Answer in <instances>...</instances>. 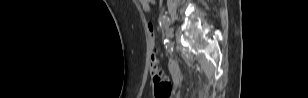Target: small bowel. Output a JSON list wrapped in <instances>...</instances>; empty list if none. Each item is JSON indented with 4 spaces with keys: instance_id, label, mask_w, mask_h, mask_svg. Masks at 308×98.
Instances as JSON below:
<instances>
[{
    "instance_id": "obj_1",
    "label": "small bowel",
    "mask_w": 308,
    "mask_h": 98,
    "mask_svg": "<svg viewBox=\"0 0 308 98\" xmlns=\"http://www.w3.org/2000/svg\"><path fill=\"white\" fill-rule=\"evenodd\" d=\"M139 3L144 11L149 12L151 6L155 3L154 0H139Z\"/></svg>"
}]
</instances>
